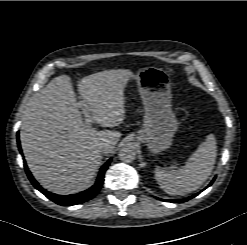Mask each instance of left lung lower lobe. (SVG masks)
I'll return each mask as SVG.
<instances>
[{"mask_svg":"<svg viewBox=\"0 0 247 245\" xmlns=\"http://www.w3.org/2000/svg\"><path fill=\"white\" fill-rule=\"evenodd\" d=\"M212 184V182L210 183V185ZM197 195V194H196ZM194 195V196H196ZM194 196L190 197L193 198ZM190 198H186V199H178V200H170V202H177V203H181V202H185L186 200H189ZM165 201V200H164Z\"/></svg>","mask_w":247,"mask_h":245,"instance_id":"left-lung-lower-lobe-1","label":"left lung lower lobe"}]
</instances>
